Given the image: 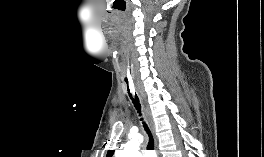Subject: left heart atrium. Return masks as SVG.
<instances>
[{"label": "left heart atrium", "mask_w": 264, "mask_h": 157, "mask_svg": "<svg viewBox=\"0 0 264 157\" xmlns=\"http://www.w3.org/2000/svg\"><path fill=\"white\" fill-rule=\"evenodd\" d=\"M150 153H151V152H150ZM149 157H155V155H153V154H152V155H151V156H149Z\"/></svg>", "instance_id": "obj_1"}]
</instances>
